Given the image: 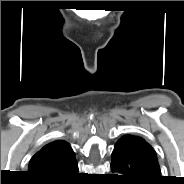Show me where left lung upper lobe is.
<instances>
[{
    "instance_id": "1",
    "label": "left lung upper lobe",
    "mask_w": 184,
    "mask_h": 184,
    "mask_svg": "<svg viewBox=\"0 0 184 184\" xmlns=\"http://www.w3.org/2000/svg\"><path fill=\"white\" fill-rule=\"evenodd\" d=\"M118 142L128 143L133 146L136 150L143 152L144 154L153 158L157 163V156L153 148L141 137L134 135H125L122 136Z\"/></svg>"
}]
</instances>
